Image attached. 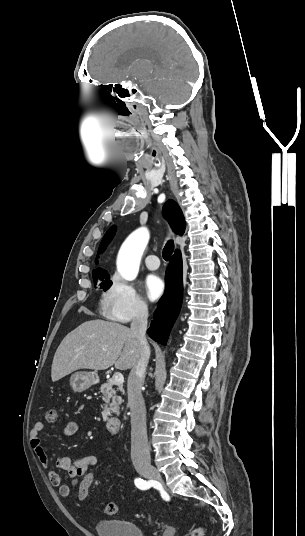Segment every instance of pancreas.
<instances>
[{"mask_svg": "<svg viewBox=\"0 0 305 536\" xmlns=\"http://www.w3.org/2000/svg\"><path fill=\"white\" fill-rule=\"evenodd\" d=\"M115 384H113L112 380H108L106 384H102L100 388V392L103 394V400L105 402L102 416L104 420H108V416H111L112 412L114 414H119V408L118 406H121L123 400L121 396H118V392H124V388L121 384V386H118V388H113Z\"/></svg>", "mask_w": 305, "mask_h": 536, "instance_id": "pancreas-1", "label": "pancreas"}]
</instances>
